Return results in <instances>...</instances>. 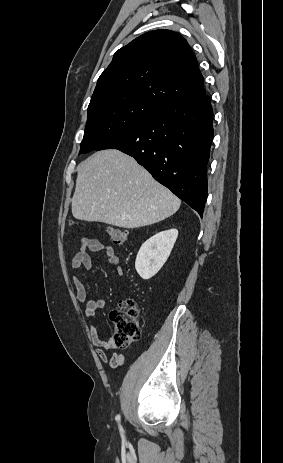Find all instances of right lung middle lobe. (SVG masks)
Returning a JSON list of instances; mask_svg holds the SVG:
<instances>
[{
	"instance_id": "1",
	"label": "right lung middle lobe",
	"mask_w": 283,
	"mask_h": 463,
	"mask_svg": "<svg viewBox=\"0 0 283 463\" xmlns=\"http://www.w3.org/2000/svg\"><path fill=\"white\" fill-rule=\"evenodd\" d=\"M160 109L147 99L123 91L91 99L80 153L95 150Z\"/></svg>"
}]
</instances>
